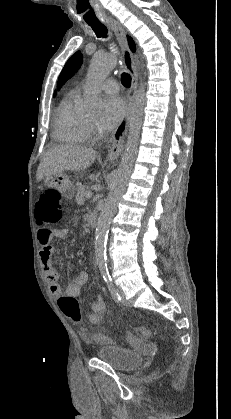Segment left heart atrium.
Returning <instances> with one entry per match:
<instances>
[{"mask_svg":"<svg viewBox=\"0 0 231 419\" xmlns=\"http://www.w3.org/2000/svg\"><path fill=\"white\" fill-rule=\"evenodd\" d=\"M124 101L116 96L106 99L98 125L103 131L114 129L125 115Z\"/></svg>","mask_w":231,"mask_h":419,"instance_id":"obj_1","label":"left heart atrium"}]
</instances>
